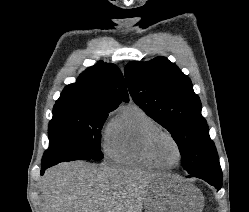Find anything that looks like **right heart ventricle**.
Masks as SVG:
<instances>
[{"label":"right heart ventricle","mask_w":249,"mask_h":212,"mask_svg":"<svg viewBox=\"0 0 249 212\" xmlns=\"http://www.w3.org/2000/svg\"><path fill=\"white\" fill-rule=\"evenodd\" d=\"M159 129L156 121L139 105L129 104L107 126L104 139L106 155L112 160L142 168L157 169L146 153L148 135Z\"/></svg>","instance_id":"e07e8e85"}]
</instances>
